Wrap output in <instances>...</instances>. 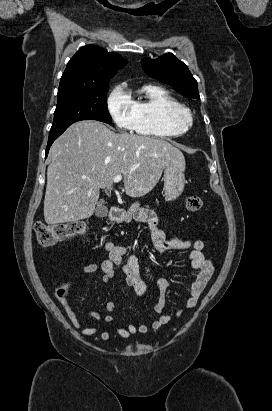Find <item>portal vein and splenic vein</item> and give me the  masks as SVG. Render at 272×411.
<instances>
[{"label":"portal vein and splenic vein","instance_id":"18ae733b","mask_svg":"<svg viewBox=\"0 0 272 411\" xmlns=\"http://www.w3.org/2000/svg\"><path fill=\"white\" fill-rule=\"evenodd\" d=\"M121 180H122V175L121 174H119V175H117L113 178L114 183L120 182Z\"/></svg>","mask_w":272,"mask_h":411}]
</instances>
